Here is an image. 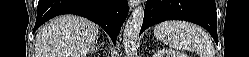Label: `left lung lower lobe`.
<instances>
[{"instance_id": "left-lung-lower-lobe-1", "label": "left lung lower lobe", "mask_w": 249, "mask_h": 57, "mask_svg": "<svg viewBox=\"0 0 249 57\" xmlns=\"http://www.w3.org/2000/svg\"><path fill=\"white\" fill-rule=\"evenodd\" d=\"M165 20L196 23L205 28L218 44L214 0H147L140 34L148 27Z\"/></svg>"}]
</instances>
